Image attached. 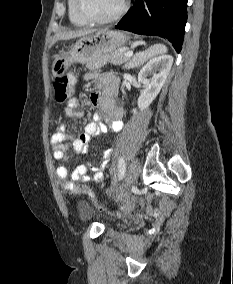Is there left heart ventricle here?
Here are the masks:
<instances>
[{"instance_id": "left-heart-ventricle-1", "label": "left heart ventricle", "mask_w": 233, "mask_h": 284, "mask_svg": "<svg viewBox=\"0 0 233 284\" xmlns=\"http://www.w3.org/2000/svg\"><path fill=\"white\" fill-rule=\"evenodd\" d=\"M123 0H85L87 12L96 18L114 15L122 6Z\"/></svg>"}]
</instances>
